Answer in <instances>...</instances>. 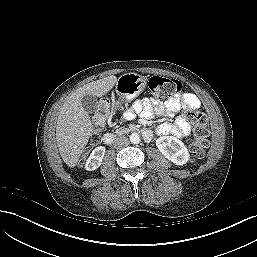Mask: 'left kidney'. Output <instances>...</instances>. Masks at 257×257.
<instances>
[{"label": "left kidney", "mask_w": 257, "mask_h": 257, "mask_svg": "<svg viewBox=\"0 0 257 257\" xmlns=\"http://www.w3.org/2000/svg\"><path fill=\"white\" fill-rule=\"evenodd\" d=\"M159 151L176 165H184L190 155L184 143L173 136H161L156 140Z\"/></svg>", "instance_id": "obj_1"}]
</instances>
